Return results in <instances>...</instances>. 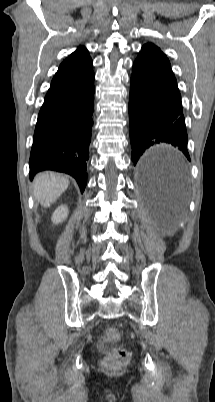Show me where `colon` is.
Masks as SVG:
<instances>
[{
	"label": "colon",
	"instance_id": "5ec220e1",
	"mask_svg": "<svg viewBox=\"0 0 215 402\" xmlns=\"http://www.w3.org/2000/svg\"><path fill=\"white\" fill-rule=\"evenodd\" d=\"M120 339V332L116 328H108L104 332L103 342L105 344L115 343ZM129 353L120 347L113 348L103 361L106 369L115 370L122 368L128 363Z\"/></svg>",
	"mask_w": 215,
	"mask_h": 402
}]
</instances>
